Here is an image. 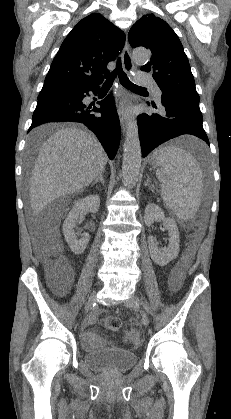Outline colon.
Returning a JSON list of instances; mask_svg holds the SVG:
<instances>
[{"label": "colon", "instance_id": "obj_1", "mask_svg": "<svg viewBox=\"0 0 231 419\" xmlns=\"http://www.w3.org/2000/svg\"><path fill=\"white\" fill-rule=\"evenodd\" d=\"M47 272L54 281L69 279V270L61 260H50L47 263ZM104 326L111 331H118L122 326L121 319L114 315L106 316L103 320Z\"/></svg>", "mask_w": 231, "mask_h": 419}]
</instances>
